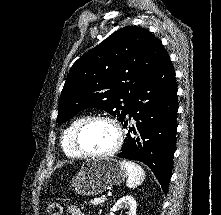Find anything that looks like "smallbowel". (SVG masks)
I'll return each mask as SVG.
<instances>
[{"label": "small bowel", "instance_id": "small-bowel-1", "mask_svg": "<svg viewBox=\"0 0 221 215\" xmlns=\"http://www.w3.org/2000/svg\"><path fill=\"white\" fill-rule=\"evenodd\" d=\"M68 212L70 215H86L75 205H69Z\"/></svg>", "mask_w": 221, "mask_h": 215}]
</instances>
